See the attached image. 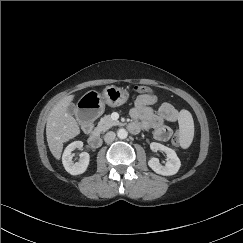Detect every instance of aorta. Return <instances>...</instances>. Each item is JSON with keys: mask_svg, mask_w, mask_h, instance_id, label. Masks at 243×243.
<instances>
[{"mask_svg": "<svg viewBox=\"0 0 243 243\" xmlns=\"http://www.w3.org/2000/svg\"><path fill=\"white\" fill-rule=\"evenodd\" d=\"M117 136L119 139H125L128 136V132L124 128H121L117 131Z\"/></svg>", "mask_w": 243, "mask_h": 243, "instance_id": "aorta-1", "label": "aorta"}]
</instances>
